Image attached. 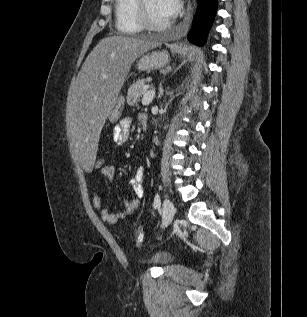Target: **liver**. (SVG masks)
I'll return each instance as SVG.
<instances>
[{
	"label": "liver",
	"instance_id": "liver-1",
	"mask_svg": "<svg viewBox=\"0 0 307 317\" xmlns=\"http://www.w3.org/2000/svg\"><path fill=\"white\" fill-rule=\"evenodd\" d=\"M160 43L112 35L102 39L83 63L73 87L67 132L83 175L95 171L97 142L134 61Z\"/></svg>",
	"mask_w": 307,
	"mask_h": 317
}]
</instances>
